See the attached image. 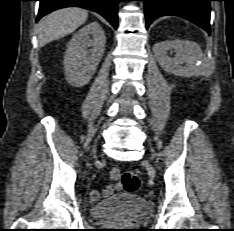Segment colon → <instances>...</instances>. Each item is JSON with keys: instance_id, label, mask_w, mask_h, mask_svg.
Instances as JSON below:
<instances>
[{"instance_id": "1", "label": "colon", "mask_w": 234, "mask_h": 231, "mask_svg": "<svg viewBox=\"0 0 234 231\" xmlns=\"http://www.w3.org/2000/svg\"><path fill=\"white\" fill-rule=\"evenodd\" d=\"M113 179H120L124 191L133 193L138 191L140 187V179L133 171L120 172L118 169L111 170Z\"/></svg>"}]
</instances>
